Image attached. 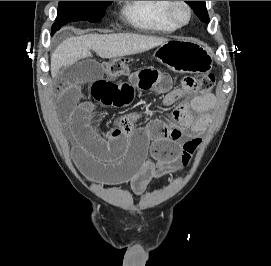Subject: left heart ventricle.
Listing matches in <instances>:
<instances>
[{"instance_id": "b2bd125f", "label": "left heart ventricle", "mask_w": 271, "mask_h": 266, "mask_svg": "<svg viewBox=\"0 0 271 266\" xmlns=\"http://www.w3.org/2000/svg\"><path fill=\"white\" fill-rule=\"evenodd\" d=\"M176 13L181 20H185L187 18V12L183 6H178L176 9Z\"/></svg>"}]
</instances>
